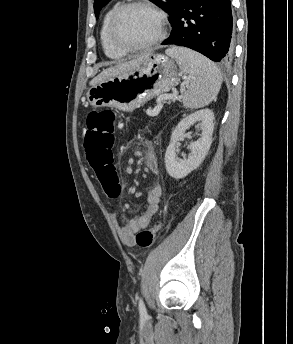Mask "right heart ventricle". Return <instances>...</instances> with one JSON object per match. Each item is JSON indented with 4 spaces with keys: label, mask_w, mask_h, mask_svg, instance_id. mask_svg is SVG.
Instances as JSON below:
<instances>
[{
    "label": "right heart ventricle",
    "mask_w": 293,
    "mask_h": 344,
    "mask_svg": "<svg viewBox=\"0 0 293 344\" xmlns=\"http://www.w3.org/2000/svg\"><path fill=\"white\" fill-rule=\"evenodd\" d=\"M118 5L112 6L104 15L102 19V24L100 28V41L102 45V49L104 54L111 60H121L123 59L127 53L117 49L111 42L110 35H109V26L111 17L116 10Z\"/></svg>",
    "instance_id": "e07e8e85"
}]
</instances>
